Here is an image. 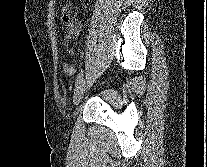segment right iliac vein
<instances>
[{
    "mask_svg": "<svg viewBox=\"0 0 207 167\" xmlns=\"http://www.w3.org/2000/svg\"><path fill=\"white\" fill-rule=\"evenodd\" d=\"M85 89H86L85 81H82L75 89L74 96H73L74 105H78L81 102Z\"/></svg>",
    "mask_w": 207,
    "mask_h": 167,
    "instance_id": "1",
    "label": "right iliac vein"
}]
</instances>
